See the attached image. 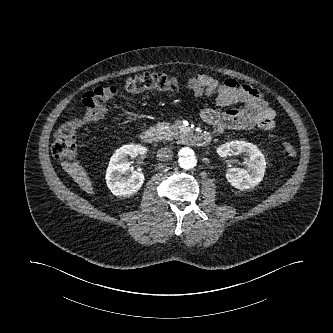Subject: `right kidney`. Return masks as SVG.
<instances>
[{"instance_id": "obj_1", "label": "right kidney", "mask_w": 333, "mask_h": 333, "mask_svg": "<svg viewBox=\"0 0 333 333\" xmlns=\"http://www.w3.org/2000/svg\"><path fill=\"white\" fill-rule=\"evenodd\" d=\"M146 147L135 144L124 145L113 154L106 171L107 187L115 196H131L137 193L144 183V174L134 171L131 176L124 177L123 174L129 171L130 162L127 156L135 157L138 154H145Z\"/></svg>"}]
</instances>
